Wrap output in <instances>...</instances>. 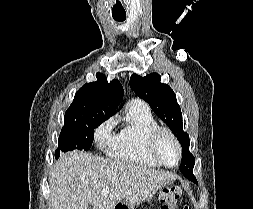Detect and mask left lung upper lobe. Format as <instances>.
Segmentation results:
<instances>
[{"label":"left lung upper lobe","mask_w":253,"mask_h":209,"mask_svg":"<svg viewBox=\"0 0 253 209\" xmlns=\"http://www.w3.org/2000/svg\"><path fill=\"white\" fill-rule=\"evenodd\" d=\"M161 76L151 73L145 77L132 74L130 86L138 97L149 103L154 113L162 119L177 136L183 152L180 164L181 173L189 180L194 176L195 158L189 151V135L183 131L182 113L176 95L169 85L161 83Z\"/></svg>","instance_id":"obj_1"}]
</instances>
